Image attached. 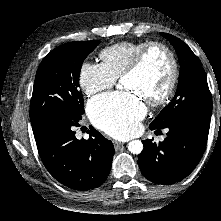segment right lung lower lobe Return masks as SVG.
<instances>
[{"mask_svg":"<svg viewBox=\"0 0 221 221\" xmlns=\"http://www.w3.org/2000/svg\"><path fill=\"white\" fill-rule=\"evenodd\" d=\"M78 121L50 115L32 123L39 155L48 172L74 190L99 187L112 166L114 146L93 127L89 139L78 140L73 131Z\"/></svg>","mask_w":221,"mask_h":221,"instance_id":"right-lung-lower-lobe-1","label":"right lung lower lobe"}]
</instances>
